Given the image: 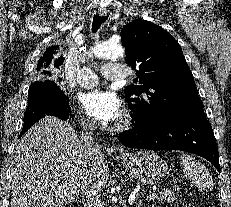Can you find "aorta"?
Returning a JSON list of instances; mask_svg holds the SVG:
<instances>
[{
    "label": "aorta",
    "instance_id": "1",
    "mask_svg": "<svg viewBox=\"0 0 231 207\" xmlns=\"http://www.w3.org/2000/svg\"><path fill=\"white\" fill-rule=\"evenodd\" d=\"M92 54L101 59L116 60L122 58L125 54L124 48L119 44L109 42L97 43L92 48Z\"/></svg>",
    "mask_w": 231,
    "mask_h": 207
}]
</instances>
